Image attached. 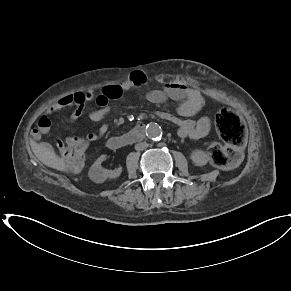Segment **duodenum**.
Returning <instances> with one entry per match:
<instances>
[{"instance_id": "duodenum-1", "label": "duodenum", "mask_w": 291, "mask_h": 291, "mask_svg": "<svg viewBox=\"0 0 291 291\" xmlns=\"http://www.w3.org/2000/svg\"><path fill=\"white\" fill-rule=\"evenodd\" d=\"M144 134L145 124L139 123L130 132L108 139L106 145L111 150L120 149L141 140Z\"/></svg>"}]
</instances>
